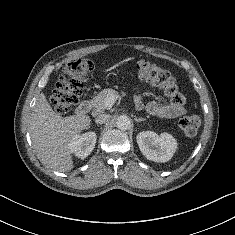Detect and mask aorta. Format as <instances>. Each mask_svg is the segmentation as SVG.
Wrapping results in <instances>:
<instances>
[{"label": "aorta", "instance_id": "obj_1", "mask_svg": "<svg viewBox=\"0 0 235 235\" xmlns=\"http://www.w3.org/2000/svg\"><path fill=\"white\" fill-rule=\"evenodd\" d=\"M116 124L120 130H127L131 126V119L126 115H121L117 118Z\"/></svg>", "mask_w": 235, "mask_h": 235}]
</instances>
